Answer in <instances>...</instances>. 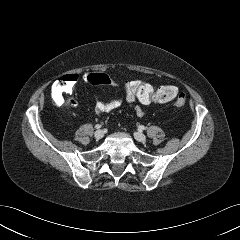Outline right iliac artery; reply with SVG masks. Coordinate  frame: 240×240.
Instances as JSON below:
<instances>
[{
    "label": "right iliac artery",
    "instance_id": "right-iliac-artery-1",
    "mask_svg": "<svg viewBox=\"0 0 240 240\" xmlns=\"http://www.w3.org/2000/svg\"><path fill=\"white\" fill-rule=\"evenodd\" d=\"M101 127H102V125H100V124H97V125L95 126L96 129H100Z\"/></svg>",
    "mask_w": 240,
    "mask_h": 240
}]
</instances>
